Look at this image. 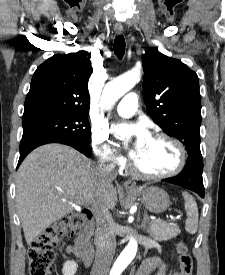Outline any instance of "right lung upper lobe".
<instances>
[{
	"mask_svg": "<svg viewBox=\"0 0 225 275\" xmlns=\"http://www.w3.org/2000/svg\"><path fill=\"white\" fill-rule=\"evenodd\" d=\"M86 51L57 54L35 71L23 116L42 112H87L88 80L93 72Z\"/></svg>",
	"mask_w": 225,
	"mask_h": 275,
	"instance_id": "right-lung-upper-lobe-1",
	"label": "right lung upper lobe"
}]
</instances>
